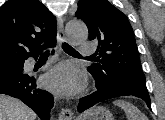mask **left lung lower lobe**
I'll return each instance as SVG.
<instances>
[{"label": "left lung lower lobe", "mask_w": 165, "mask_h": 120, "mask_svg": "<svg viewBox=\"0 0 165 120\" xmlns=\"http://www.w3.org/2000/svg\"><path fill=\"white\" fill-rule=\"evenodd\" d=\"M120 96H136L143 99L147 106L151 109L149 94L136 91H95L91 95L85 96L79 100L78 111L81 113L84 110L94 106L101 101L120 97Z\"/></svg>", "instance_id": "1"}]
</instances>
